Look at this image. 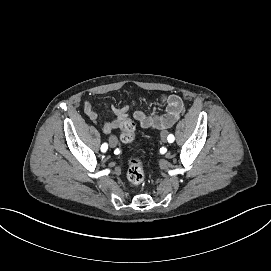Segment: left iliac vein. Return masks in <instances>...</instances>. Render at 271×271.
Returning <instances> with one entry per match:
<instances>
[{
	"mask_svg": "<svg viewBox=\"0 0 271 271\" xmlns=\"http://www.w3.org/2000/svg\"><path fill=\"white\" fill-rule=\"evenodd\" d=\"M160 136H161V139L162 141H167V136H168V132L167 130H163L161 133H160Z\"/></svg>",
	"mask_w": 271,
	"mask_h": 271,
	"instance_id": "obj_1",
	"label": "left iliac vein"
}]
</instances>
